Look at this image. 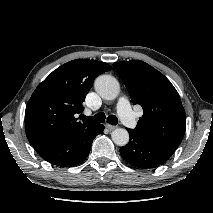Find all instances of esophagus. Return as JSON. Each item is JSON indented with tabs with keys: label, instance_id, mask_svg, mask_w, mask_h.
<instances>
[{
	"label": "esophagus",
	"instance_id": "1",
	"mask_svg": "<svg viewBox=\"0 0 213 213\" xmlns=\"http://www.w3.org/2000/svg\"><path fill=\"white\" fill-rule=\"evenodd\" d=\"M105 126H106V128L109 129V130H114V129L117 128V126L110 125V124H106Z\"/></svg>",
	"mask_w": 213,
	"mask_h": 213
}]
</instances>
